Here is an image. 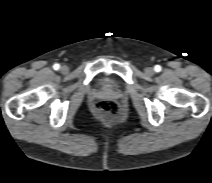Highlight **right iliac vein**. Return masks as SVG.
I'll list each match as a JSON object with an SVG mask.
<instances>
[{"label":"right iliac vein","instance_id":"obj_1","mask_svg":"<svg viewBox=\"0 0 212 183\" xmlns=\"http://www.w3.org/2000/svg\"><path fill=\"white\" fill-rule=\"evenodd\" d=\"M60 71L63 73V74H66L69 72V67L66 66V65H62L61 68H60Z\"/></svg>","mask_w":212,"mask_h":183}]
</instances>
